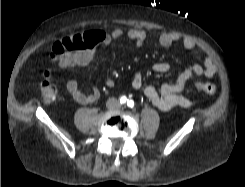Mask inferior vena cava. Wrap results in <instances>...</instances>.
Wrapping results in <instances>:
<instances>
[{
    "label": "inferior vena cava",
    "instance_id": "inferior-vena-cava-1",
    "mask_svg": "<svg viewBox=\"0 0 245 187\" xmlns=\"http://www.w3.org/2000/svg\"><path fill=\"white\" fill-rule=\"evenodd\" d=\"M108 102L117 103V100H116V99H114V98H112V99H110Z\"/></svg>",
    "mask_w": 245,
    "mask_h": 187
}]
</instances>
